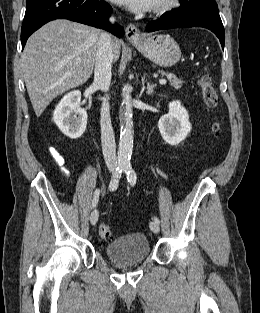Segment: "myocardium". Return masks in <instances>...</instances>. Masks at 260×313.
<instances>
[{
  "label": "myocardium",
  "instance_id": "1",
  "mask_svg": "<svg viewBox=\"0 0 260 313\" xmlns=\"http://www.w3.org/2000/svg\"><path fill=\"white\" fill-rule=\"evenodd\" d=\"M178 2L179 0H161L153 5L152 12L156 15H163L176 8Z\"/></svg>",
  "mask_w": 260,
  "mask_h": 313
}]
</instances>
